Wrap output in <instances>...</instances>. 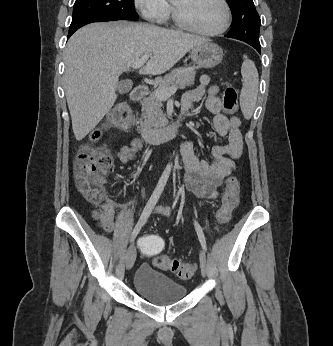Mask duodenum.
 Here are the masks:
<instances>
[{
	"label": "duodenum",
	"instance_id": "1",
	"mask_svg": "<svg viewBox=\"0 0 333 346\" xmlns=\"http://www.w3.org/2000/svg\"><path fill=\"white\" fill-rule=\"evenodd\" d=\"M146 93V87L138 85L133 89L131 93V99L133 101L139 102L145 98ZM181 125L182 119H177L173 123L157 129L142 127L140 129V134L142 139L147 143H163L175 138L180 132Z\"/></svg>",
	"mask_w": 333,
	"mask_h": 346
}]
</instances>
